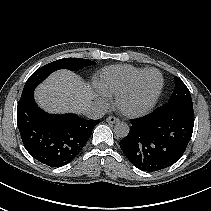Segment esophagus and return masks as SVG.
Masks as SVG:
<instances>
[{
    "mask_svg": "<svg viewBox=\"0 0 211 211\" xmlns=\"http://www.w3.org/2000/svg\"><path fill=\"white\" fill-rule=\"evenodd\" d=\"M106 122L107 123H110V124H115V123H118L119 122V119L117 117H114V116H109L106 119Z\"/></svg>",
    "mask_w": 211,
    "mask_h": 211,
    "instance_id": "esophagus-1",
    "label": "esophagus"
}]
</instances>
